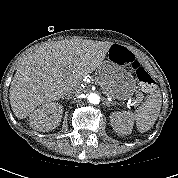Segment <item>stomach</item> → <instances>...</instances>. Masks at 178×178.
<instances>
[{
    "instance_id": "1",
    "label": "stomach",
    "mask_w": 178,
    "mask_h": 178,
    "mask_svg": "<svg viewBox=\"0 0 178 178\" xmlns=\"http://www.w3.org/2000/svg\"><path fill=\"white\" fill-rule=\"evenodd\" d=\"M127 65L123 58L112 55L111 48L108 50L107 59L98 68V78L107 88L109 95L119 101L131 100L139 92L136 79L127 70Z\"/></svg>"
}]
</instances>
